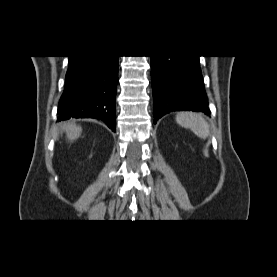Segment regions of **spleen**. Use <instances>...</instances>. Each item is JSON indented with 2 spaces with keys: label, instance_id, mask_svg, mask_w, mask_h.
Listing matches in <instances>:
<instances>
[{
  "label": "spleen",
  "instance_id": "1",
  "mask_svg": "<svg viewBox=\"0 0 277 277\" xmlns=\"http://www.w3.org/2000/svg\"><path fill=\"white\" fill-rule=\"evenodd\" d=\"M176 122L184 128L191 129L200 138H207L210 134L207 122L199 114L191 112L178 113Z\"/></svg>",
  "mask_w": 277,
  "mask_h": 277
}]
</instances>
